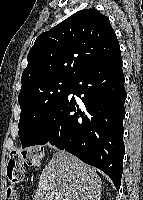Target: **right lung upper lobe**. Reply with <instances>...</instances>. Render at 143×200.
<instances>
[{
	"label": "right lung upper lobe",
	"instance_id": "1",
	"mask_svg": "<svg viewBox=\"0 0 143 200\" xmlns=\"http://www.w3.org/2000/svg\"><path fill=\"white\" fill-rule=\"evenodd\" d=\"M118 47L108 17L96 9L80 10L36 39L27 56L21 90L53 78L74 79Z\"/></svg>",
	"mask_w": 143,
	"mask_h": 200
}]
</instances>
